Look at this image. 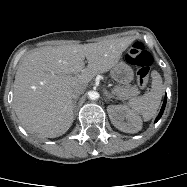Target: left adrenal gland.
<instances>
[{
    "label": "left adrenal gland",
    "instance_id": "a2214340",
    "mask_svg": "<svg viewBox=\"0 0 187 187\" xmlns=\"http://www.w3.org/2000/svg\"><path fill=\"white\" fill-rule=\"evenodd\" d=\"M104 94L106 96V98L108 100H110L111 98H114V99H118L117 97H115L113 94L109 93L108 91H104Z\"/></svg>",
    "mask_w": 187,
    "mask_h": 187
}]
</instances>
